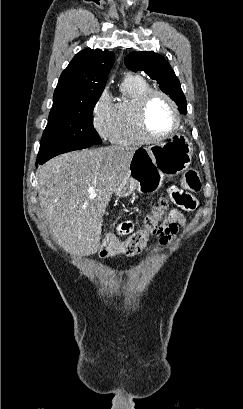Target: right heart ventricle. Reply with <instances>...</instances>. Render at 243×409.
Here are the masks:
<instances>
[{"instance_id": "right-heart-ventricle-1", "label": "right heart ventricle", "mask_w": 243, "mask_h": 409, "mask_svg": "<svg viewBox=\"0 0 243 409\" xmlns=\"http://www.w3.org/2000/svg\"><path fill=\"white\" fill-rule=\"evenodd\" d=\"M149 84L139 77H127L121 85L122 99L114 104V126L110 140L119 145H139L146 142L135 124V106L148 90Z\"/></svg>"}]
</instances>
